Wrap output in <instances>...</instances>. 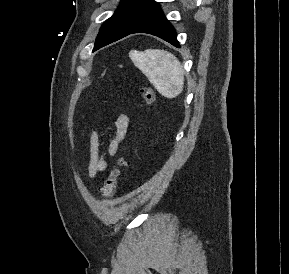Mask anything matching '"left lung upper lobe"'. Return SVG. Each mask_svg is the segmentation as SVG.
<instances>
[{
  "label": "left lung upper lobe",
  "mask_w": 289,
  "mask_h": 274,
  "mask_svg": "<svg viewBox=\"0 0 289 274\" xmlns=\"http://www.w3.org/2000/svg\"><path fill=\"white\" fill-rule=\"evenodd\" d=\"M159 8L154 0H122L115 13L101 26L93 50L126 36Z\"/></svg>",
  "instance_id": "left-lung-upper-lobe-1"
}]
</instances>
